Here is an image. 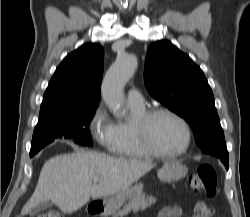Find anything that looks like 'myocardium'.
<instances>
[{"mask_svg": "<svg viewBox=\"0 0 250 217\" xmlns=\"http://www.w3.org/2000/svg\"><path fill=\"white\" fill-rule=\"evenodd\" d=\"M160 114L169 115L182 125L186 135V143L182 149L175 152L165 153L160 151L153 143L150 135V123L155 116ZM135 131L143 148L151 156L162 159L175 158L185 154L190 148L192 142V133L188 122L180 114L167 107H153L146 110L139 118H137L135 122Z\"/></svg>", "mask_w": 250, "mask_h": 217, "instance_id": "1", "label": "myocardium"}]
</instances>
